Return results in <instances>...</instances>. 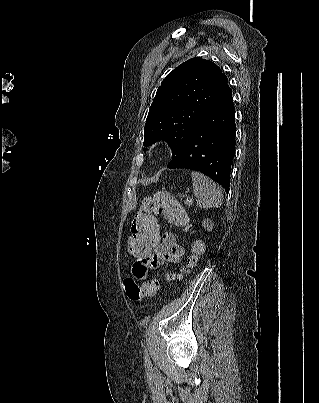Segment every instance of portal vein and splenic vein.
Returning a JSON list of instances; mask_svg holds the SVG:
<instances>
[{
  "label": "portal vein and splenic vein",
  "instance_id": "18ae733b",
  "mask_svg": "<svg viewBox=\"0 0 319 403\" xmlns=\"http://www.w3.org/2000/svg\"><path fill=\"white\" fill-rule=\"evenodd\" d=\"M193 201V198H187L184 203L185 204H190Z\"/></svg>",
  "mask_w": 319,
  "mask_h": 403
}]
</instances>
